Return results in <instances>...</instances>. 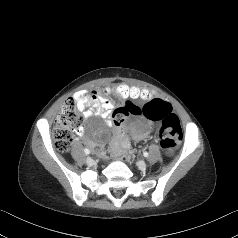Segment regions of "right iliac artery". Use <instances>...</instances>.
<instances>
[{"label": "right iliac artery", "mask_w": 238, "mask_h": 238, "mask_svg": "<svg viewBox=\"0 0 238 238\" xmlns=\"http://www.w3.org/2000/svg\"><path fill=\"white\" fill-rule=\"evenodd\" d=\"M84 152H85V154H89V153H90V150L87 149V148H85V149H84Z\"/></svg>", "instance_id": "right-iliac-artery-1"}]
</instances>
